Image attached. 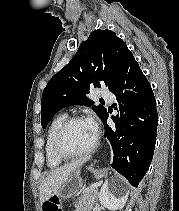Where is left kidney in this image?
<instances>
[{"label": "left kidney", "instance_id": "obj_1", "mask_svg": "<svg viewBox=\"0 0 179 211\" xmlns=\"http://www.w3.org/2000/svg\"><path fill=\"white\" fill-rule=\"evenodd\" d=\"M127 189L114 181H106L100 190L99 201L101 205L109 210L122 209L128 200Z\"/></svg>", "mask_w": 179, "mask_h": 211}]
</instances>
